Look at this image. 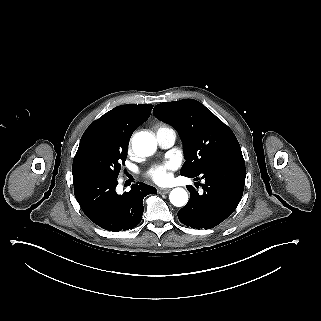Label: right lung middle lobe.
<instances>
[{"label": "right lung middle lobe", "instance_id": "1", "mask_svg": "<svg viewBox=\"0 0 321 321\" xmlns=\"http://www.w3.org/2000/svg\"><path fill=\"white\" fill-rule=\"evenodd\" d=\"M130 137L113 135L104 124H91L80 140L72 173H96L117 179L125 164Z\"/></svg>", "mask_w": 321, "mask_h": 321}]
</instances>
